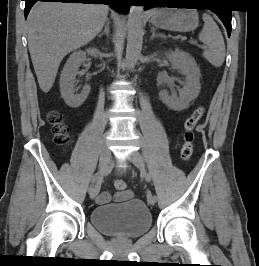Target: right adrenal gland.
Masks as SVG:
<instances>
[{
	"label": "right adrenal gland",
	"instance_id": "obj_1",
	"mask_svg": "<svg viewBox=\"0 0 259 266\" xmlns=\"http://www.w3.org/2000/svg\"><path fill=\"white\" fill-rule=\"evenodd\" d=\"M109 24H110V21L107 20L106 23H105L104 31L102 33H100L98 35V37H101L104 34L107 35V36H109Z\"/></svg>",
	"mask_w": 259,
	"mask_h": 266
}]
</instances>
